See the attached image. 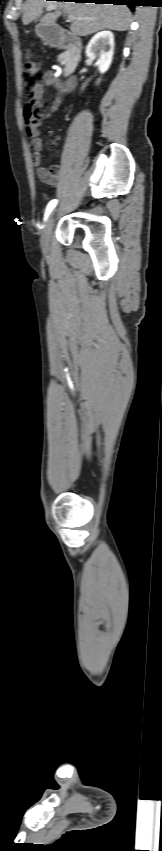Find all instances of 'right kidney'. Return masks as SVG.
I'll return each mask as SVG.
<instances>
[{"mask_svg":"<svg viewBox=\"0 0 162 851\" xmlns=\"http://www.w3.org/2000/svg\"><path fill=\"white\" fill-rule=\"evenodd\" d=\"M114 53V35L111 31H101L93 36L86 47V55L96 59V65L101 73L106 72L112 62Z\"/></svg>","mask_w":162,"mask_h":851,"instance_id":"1","label":"right kidney"}]
</instances>
